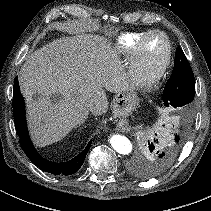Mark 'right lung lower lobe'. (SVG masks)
I'll return each mask as SVG.
<instances>
[{
    "label": "right lung lower lobe",
    "instance_id": "right-lung-lower-lobe-1",
    "mask_svg": "<svg viewBox=\"0 0 211 211\" xmlns=\"http://www.w3.org/2000/svg\"><path fill=\"white\" fill-rule=\"evenodd\" d=\"M13 116L15 121L16 130L20 137V145L26 155L31 161L39 168L52 173L54 175H71L77 172L82 166L85 157L90 149L91 140L86 148L73 159L64 163H54L41 157L34 148L27 130L26 118H25V103L20 93L19 83L17 77L14 82L13 91Z\"/></svg>",
    "mask_w": 211,
    "mask_h": 211
}]
</instances>
